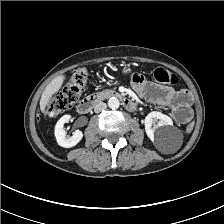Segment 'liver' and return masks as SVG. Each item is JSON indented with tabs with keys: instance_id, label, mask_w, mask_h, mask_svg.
Wrapping results in <instances>:
<instances>
[{
	"instance_id": "liver-1",
	"label": "liver",
	"mask_w": 224,
	"mask_h": 224,
	"mask_svg": "<svg viewBox=\"0 0 224 224\" xmlns=\"http://www.w3.org/2000/svg\"><path fill=\"white\" fill-rule=\"evenodd\" d=\"M65 80L64 75L57 76L54 78L45 88L41 100H40V107L41 111L45 112L46 105L49 103L53 94H55L61 88L63 82Z\"/></svg>"
}]
</instances>
